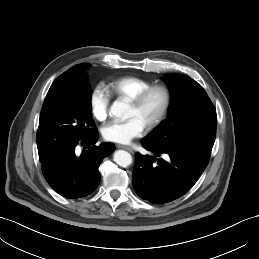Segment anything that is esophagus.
I'll use <instances>...</instances> for the list:
<instances>
[{
  "label": "esophagus",
  "instance_id": "esophagus-1",
  "mask_svg": "<svg viewBox=\"0 0 259 259\" xmlns=\"http://www.w3.org/2000/svg\"><path fill=\"white\" fill-rule=\"evenodd\" d=\"M117 148L125 149V150H127V151H129L131 153L133 152V149L131 147H129V146H124V145L118 144Z\"/></svg>",
  "mask_w": 259,
  "mask_h": 259
}]
</instances>
